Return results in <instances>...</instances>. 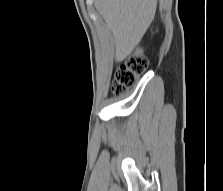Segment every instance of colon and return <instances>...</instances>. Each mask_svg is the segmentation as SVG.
Here are the masks:
<instances>
[{
  "mask_svg": "<svg viewBox=\"0 0 223 191\" xmlns=\"http://www.w3.org/2000/svg\"><path fill=\"white\" fill-rule=\"evenodd\" d=\"M148 59L142 52H135L116 70L111 85V94L121 96L136 85L139 75L148 67Z\"/></svg>",
  "mask_w": 223,
  "mask_h": 191,
  "instance_id": "1",
  "label": "colon"
}]
</instances>
